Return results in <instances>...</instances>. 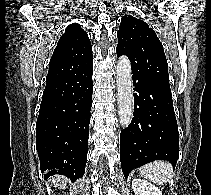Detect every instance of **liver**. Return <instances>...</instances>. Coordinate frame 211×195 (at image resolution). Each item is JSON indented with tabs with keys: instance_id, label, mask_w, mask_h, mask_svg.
<instances>
[{
	"instance_id": "liver-1",
	"label": "liver",
	"mask_w": 211,
	"mask_h": 195,
	"mask_svg": "<svg viewBox=\"0 0 211 195\" xmlns=\"http://www.w3.org/2000/svg\"><path fill=\"white\" fill-rule=\"evenodd\" d=\"M52 182L55 187L64 188L65 184L67 183V179L63 176H53Z\"/></svg>"
}]
</instances>
